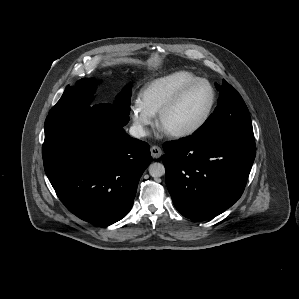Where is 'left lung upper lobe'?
<instances>
[{"label":"left lung upper lobe","instance_id":"5c2ea615","mask_svg":"<svg viewBox=\"0 0 299 299\" xmlns=\"http://www.w3.org/2000/svg\"><path fill=\"white\" fill-rule=\"evenodd\" d=\"M220 91L213 114L193 136L202 138L254 137L251 118L240 94L225 80L216 84Z\"/></svg>","mask_w":299,"mask_h":299}]
</instances>
